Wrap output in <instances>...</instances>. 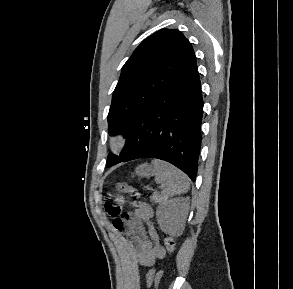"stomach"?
Masks as SVG:
<instances>
[{
	"instance_id": "0dacf381",
	"label": "stomach",
	"mask_w": 293,
	"mask_h": 289,
	"mask_svg": "<svg viewBox=\"0 0 293 289\" xmlns=\"http://www.w3.org/2000/svg\"><path fill=\"white\" fill-rule=\"evenodd\" d=\"M135 174L139 177H150L154 175V168L148 163L141 164L136 167Z\"/></svg>"
}]
</instances>
